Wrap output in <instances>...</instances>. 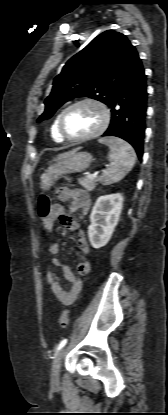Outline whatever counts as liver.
Here are the masks:
<instances>
[{"instance_id":"obj_1","label":"liver","mask_w":168,"mask_h":415,"mask_svg":"<svg viewBox=\"0 0 168 415\" xmlns=\"http://www.w3.org/2000/svg\"><path fill=\"white\" fill-rule=\"evenodd\" d=\"M66 154L67 153H63V154L58 155L57 159H60L61 157L65 156Z\"/></svg>"}]
</instances>
